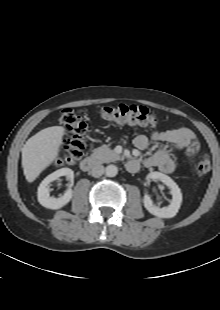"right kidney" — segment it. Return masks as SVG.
<instances>
[{
    "mask_svg": "<svg viewBox=\"0 0 220 310\" xmlns=\"http://www.w3.org/2000/svg\"><path fill=\"white\" fill-rule=\"evenodd\" d=\"M61 176H66V178L70 181L68 190L64 193L63 196L59 198L50 197L49 193V184L55 180H57ZM74 172L70 168H61L56 170L55 172L48 175L39 185L37 197L38 202L48 208V209H60L65 206L72 198V189L73 185Z\"/></svg>",
    "mask_w": 220,
    "mask_h": 310,
    "instance_id": "ca27d5eb",
    "label": "right kidney"
}]
</instances>
